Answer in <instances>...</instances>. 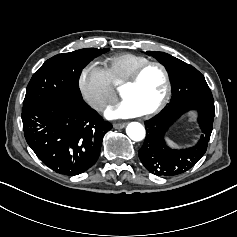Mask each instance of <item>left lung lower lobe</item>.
Segmentation results:
<instances>
[{
	"label": "left lung lower lobe",
	"mask_w": 237,
	"mask_h": 237,
	"mask_svg": "<svg viewBox=\"0 0 237 237\" xmlns=\"http://www.w3.org/2000/svg\"><path fill=\"white\" fill-rule=\"evenodd\" d=\"M190 110H196L198 112V121L206 126V128L212 131L213 128V120L215 115L214 103H197V104H189V105H180L176 106L168 111H165L164 114L168 118L178 119L182 114L188 112ZM198 160L191 162L192 165Z\"/></svg>",
	"instance_id": "1"
}]
</instances>
